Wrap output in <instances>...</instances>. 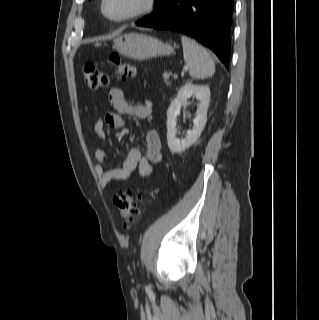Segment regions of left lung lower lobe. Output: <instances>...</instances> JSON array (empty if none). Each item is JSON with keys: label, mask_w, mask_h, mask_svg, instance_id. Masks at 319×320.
<instances>
[{"label": "left lung lower lobe", "mask_w": 319, "mask_h": 320, "mask_svg": "<svg viewBox=\"0 0 319 320\" xmlns=\"http://www.w3.org/2000/svg\"><path fill=\"white\" fill-rule=\"evenodd\" d=\"M234 0H163L136 25L181 32L211 49L229 67Z\"/></svg>", "instance_id": "1"}]
</instances>
